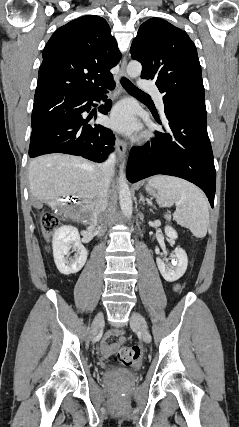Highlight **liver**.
<instances>
[{"instance_id":"obj_1","label":"liver","mask_w":239,"mask_h":427,"mask_svg":"<svg viewBox=\"0 0 239 427\" xmlns=\"http://www.w3.org/2000/svg\"><path fill=\"white\" fill-rule=\"evenodd\" d=\"M28 178L30 193L39 202L64 209L62 198H82L83 210L90 212L94 221L100 184L98 165L76 156L44 155L30 162Z\"/></svg>"}]
</instances>
